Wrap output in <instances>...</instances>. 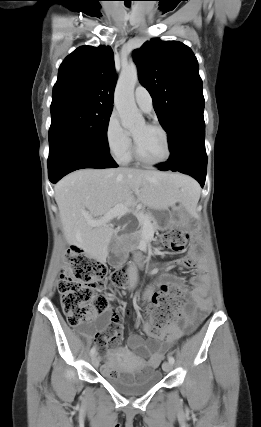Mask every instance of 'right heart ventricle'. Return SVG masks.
Wrapping results in <instances>:
<instances>
[{
    "mask_svg": "<svg viewBox=\"0 0 261 427\" xmlns=\"http://www.w3.org/2000/svg\"><path fill=\"white\" fill-rule=\"evenodd\" d=\"M131 159V155L129 154L128 158L125 160V162L129 161Z\"/></svg>",
    "mask_w": 261,
    "mask_h": 427,
    "instance_id": "right-heart-ventricle-1",
    "label": "right heart ventricle"
}]
</instances>
